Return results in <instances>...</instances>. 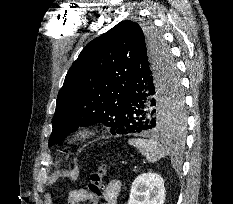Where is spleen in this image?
Segmentation results:
<instances>
[{"label":"spleen","instance_id":"1","mask_svg":"<svg viewBox=\"0 0 233 204\" xmlns=\"http://www.w3.org/2000/svg\"><path fill=\"white\" fill-rule=\"evenodd\" d=\"M129 144L136 147L150 163H155L171 153L177 155V148L164 146L154 139H130Z\"/></svg>","mask_w":233,"mask_h":204}]
</instances>
